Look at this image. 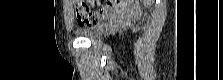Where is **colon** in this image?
I'll use <instances>...</instances> for the list:
<instances>
[{
  "instance_id": "5ec220e1",
  "label": "colon",
  "mask_w": 223,
  "mask_h": 80,
  "mask_svg": "<svg viewBox=\"0 0 223 80\" xmlns=\"http://www.w3.org/2000/svg\"><path fill=\"white\" fill-rule=\"evenodd\" d=\"M122 2V0H112L109 1L107 5L94 11L86 1H76L75 13L77 21L82 25H98L109 16L113 8L120 5Z\"/></svg>"
}]
</instances>
